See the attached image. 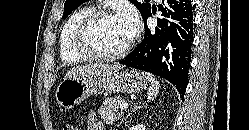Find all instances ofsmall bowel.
I'll list each match as a JSON object with an SVG mask.
<instances>
[{"mask_svg":"<svg viewBox=\"0 0 249 130\" xmlns=\"http://www.w3.org/2000/svg\"><path fill=\"white\" fill-rule=\"evenodd\" d=\"M88 130H103V124L95 112L89 113L87 117Z\"/></svg>","mask_w":249,"mask_h":130,"instance_id":"obj_1","label":"small bowel"}]
</instances>
